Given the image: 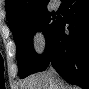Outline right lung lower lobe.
Returning a JSON list of instances; mask_svg holds the SVG:
<instances>
[{"label":"right lung lower lobe","mask_w":89,"mask_h":89,"mask_svg":"<svg viewBox=\"0 0 89 89\" xmlns=\"http://www.w3.org/2000/svg\"><path fill=\"white\" fill-rule=\"evenodd\" d=\"M67 18L59 19L36 72L50 64L70 84L89 86V1L63 0ZM69 24L65 31V24ZM35 72V73H36Z\"/></svg>","instance_id":"right-lung-lower-lobe-1"}]
</instances>
